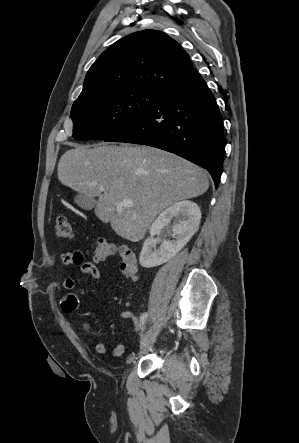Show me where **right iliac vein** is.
I'll list each match as a JSON object with an SVG mask.
<instances>
[{"mask_svg":"<svg viewBox=\"0 0 299 443\" xmlns=\"http://www.w3.org/2000/svg\"><path fill=\"white\" fill-rule=\"evenodd\" d=\"M160 326L159 325H153L148 329V331L144 334L142 337L141 343H140V351L146 350L148 347H150L156 340V337L159 333Z\"/></svg>","mask_w":299,"mask_h":443,"instance_id":"right-iliac-vein-1","label":"right iliac vein"}]
</instances>
